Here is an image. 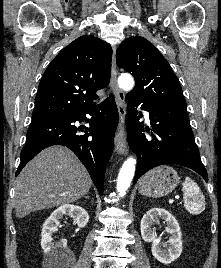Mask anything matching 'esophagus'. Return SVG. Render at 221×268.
<instances>
[{"label": "esophagus", "instance_id": "34e87169", "mask_svg": "<svg viewBox=\"0 0 221 268\" xmlns=\"http://www.w3.org/2000/svg\"><path fill=\"white\" fill-rule=\"evenodd\" d=\"M111 88L117 99V107L119 112V124H118V133L115 137V151L118 154L127 153V140L125 132V116H126V105H125V94L119 88L117 84V68L115 60V50L112 55V70H111Z\"/></svg>", "mask_w": 221, "mask_h": 268}]
</instances>
